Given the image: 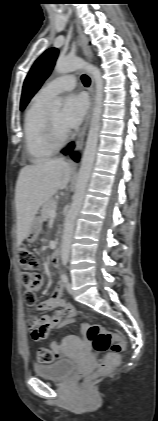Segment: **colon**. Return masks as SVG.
<instances>
[{
  "mask_svg": "<svg viewBox=\"0 0 158 421\" xmlns=\"http://www.w3.org/2000/svg\"><path fill=\"white\" fill-rule=\"evenodd\" d=\"M18 260L22 271V284L26 291V300L28 304L33 305L36 301L35 294L41 286V278L37 273L38 259L27 246L21 245L18 249ZM85 333L94 351L108 352L101 361L97 373L103 374L117 367L120 363V354L125 349L122 338L97 324L88 326ZM37 358L41 363H52L55 354L50 349L40 348Z\"/></svg>",
  "mask_w": 158,
  "mask_h": 421,
  "instance_id": "obj_1",
  "label": "colon"
}]
</instances>
